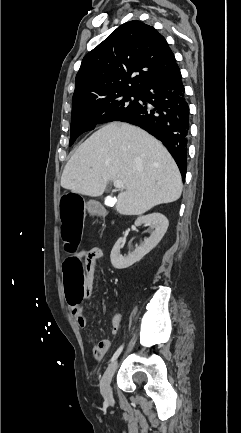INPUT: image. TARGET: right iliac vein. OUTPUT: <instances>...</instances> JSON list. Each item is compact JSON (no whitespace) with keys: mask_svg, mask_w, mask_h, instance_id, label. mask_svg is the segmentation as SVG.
<instances>
[{"mask_svg":"<svg viewBox=\"0 0 241 433\" xmlns=\"http://www.w3.org/2000/svg\"><path fill=\"white\" fill-rule=\"evenodd\" d=\"M118 362H112L106 369L101 380V393L106 401H113V394L111 388V381L117 369Z\"/></svg>","mask_w":241,"mask_h":433,"instance_id":"right-iliac-vein-1","label":"right iliac vein"}]
</instances>
